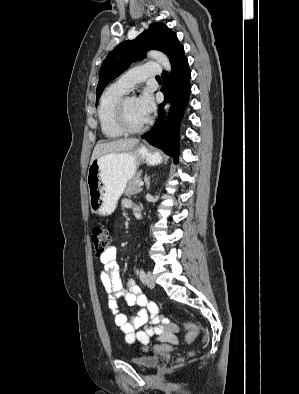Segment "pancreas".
<instances>
[{
  "label": "pancreas",
  "instance_id": "cf45deb5",
  "mask_svg": "<svg viewBox=\"0 0 299 394\" xmlns=\"http://www.w3.org/2000/svg\"><path fill=\"white\" fill-rule=\"evenodd\" d=\"M141 172L136 173V175L127 183L124 194L126 196H131L138 194L142 191V188L138 186L140 182Z\"/></svg>",
  "mask_w": 299,
  "mask_h": 394
}]
</instances>
